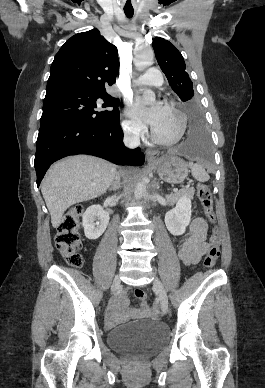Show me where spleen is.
Returning a JSON list of instances; mask_svg holds the SVG:
<instances>
[{"label": "spleen", "instance_id": "spleen-1", "mask_svg": "<svg viewBox=\"0 0 265 388\" xmlns=\"http://www.w3.org/2000/svg\"><path fill=\"white\" fill-rule=\"evenodd\" d=\"M188 166L191 168V174L193 178H196V180H199V182H207V180H209L208 174H206L205 170H203L199 164L188 162Z\"/></svg>", "mask_w": 265, "mask_h": 388}]
</instances>
